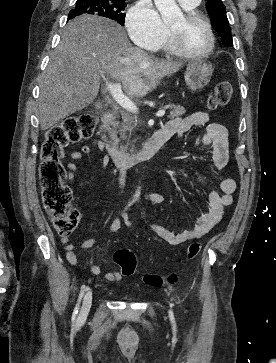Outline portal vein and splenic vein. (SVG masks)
I'll use <instances>...</instances> for the list:
<instances>
[{
    "label": "portal vein and splenic vein",
    "instance_id": "portal-vein-and-splenic-vein-1",
    "mask_svg": "<svg viewBox=\"0 0 276 363\" xmlns=\"http://www.w3.org/2000/svg\"><path fill=\"white\" fill-rule=\"evenodd\" d=\"M106 89L110 92L114 100L124 109L127 111L136 113L138 111L137 106L128 98L126 97L121 89L120 83H111L106 80ZM166 113L165 109L159 110L156 113L157 117H162Z\"/></svg>",
    "mask_w": 276,
    "mask_h": 363
}]
</instances>
